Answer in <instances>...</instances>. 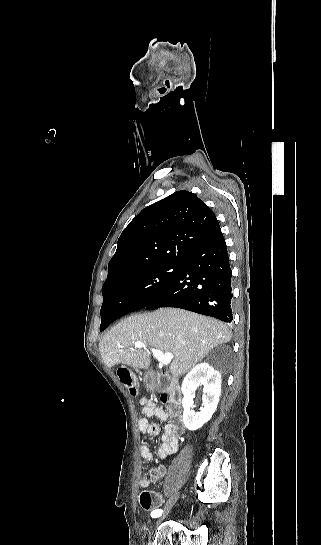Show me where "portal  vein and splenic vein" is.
Returning a JSON list of instances; mask_svg holds the SVG:
<instances>
[{
	"instance_id": "1",
	"label": "portal vein and splenic vein",
	"mask_w": 321,
	"mask_h": 545,
	"mask_svg": "<svg viewBox=\"0 0 321 545\" xmlns=\"http://www.w3.org/2000/svg\"><path fill=\"white\" fill-rule=\"evenodd\" d=\"M134 347L135 349H147V345H144V343H141V341H135ZM150 351L152 355H154L155 359H158L162 365H169L172 359H174V355H172V353H161V351H158V349H150Z\"/></svg>"
}]
</instances>
